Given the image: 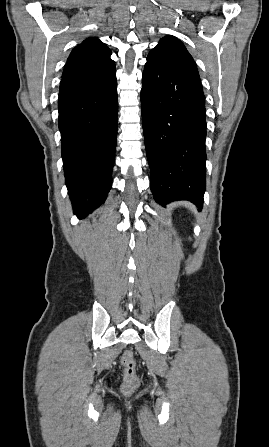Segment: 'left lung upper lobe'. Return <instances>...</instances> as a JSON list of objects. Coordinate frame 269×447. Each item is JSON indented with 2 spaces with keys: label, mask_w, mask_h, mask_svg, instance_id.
I'll list each match as a JSON object with an SVG mask.
<instances>
[{
  "label": "left lung upper lobe",
  "mask_w": 269,
  "mask_h": 447,
  "mask_svg": "<svg viewBox=\"0 0 269 447\" xmlns=\"http://www.w3.org/2000/svg\"><path fill=\"white\" fill-rule=\"evenodd\" d=\"M151 51H160L168 55L178 56L191 62L196 66L192 56L184 47L183 43L173 36H166L160 40L159 44Z\"/></svg>",
  "instance_id": "1"
}]
</instances>
